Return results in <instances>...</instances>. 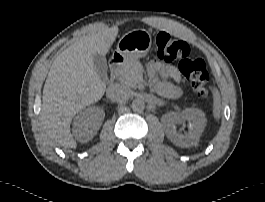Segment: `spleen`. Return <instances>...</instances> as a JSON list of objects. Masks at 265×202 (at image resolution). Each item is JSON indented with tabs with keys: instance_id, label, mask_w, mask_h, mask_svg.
Wrapping results in <instances>:
<instances>
[{
	"instance_id": "spleen-1",
	"label": "spleen",
	"mask_w": 265,
	"mask_h": 202,
	"mask_svg": "<svg viewBox=\"0 0 265 202\" xmlns=\"http://www.w3.org/2000/svg\"><path fill=\"white\" fill-rule=\"evenodd\" d=\"M213 116L215 119H219L221 115V100L219 92L214 89L213 91Z\"/></svg>"
}]
</instances>
